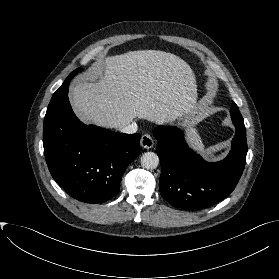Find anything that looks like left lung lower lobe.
Masks as SVG:
<instances>
[{
	"instance_id": "obj_1",
	"label": "left lung lower lobe",
	"mask_w": 279,
	"mask_h": 279,
	"mask_svg": "<svg viewBox=\"0 0 279 279\" xmlns=\"http://www.w3.org/2000/svg\"><path fill=\"white\" fill-rule=\"evenodd\" d=\"M236 134L228 156L216 163L206 162L185 143L176 127L158 126L154 136L161 163L160 193L172 206L201 210L226 198L244 170L247 142L244 124L234 122Z\"/></svg>"
}]
</instances>
